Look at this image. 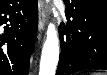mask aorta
<instances>
[{"mask_svg":"<svg viewBox=\"0 0 107 75\" xmlns=\"http://www.w3.org/2000/svg\"><path fill=\"white\" fill-rule=\"evenodd\" d=\"M59 59V40L55 25L50 23L47 29V37L44 43L39 75H55Z\"/></svg>","mask_w":107,"mask_h":75,"instance_id":"obj_1","label":"aorta"}]
</instances>
